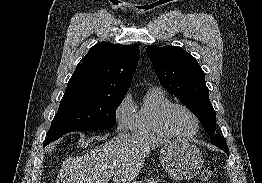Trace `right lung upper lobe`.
Returning a JSON list of instances; mask_svg holds the SVG:
<instances>
[{
  "label": "right lung upper lobe",
  "mask_w": 262,
  "mask_h": 183,
  "mask_svg": "<svg viewBox=\"0 0 262 183\" xmlns=\"http://www.w3.org/2000/svg\"><path fill=\"white\" fill-rule=\"evenodd\" d=\"M140 50L134 45L100 42L89 49L68 81L65 94L124 97L136 71Z\"/></svg>",
  "instance_id": "cb5924a9"
}]
</instances>
